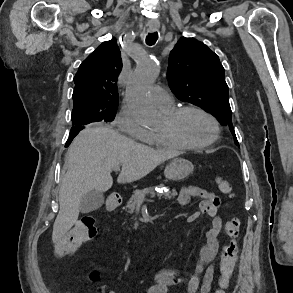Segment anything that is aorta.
Masks as SVG:
<instances>
[{"instance_id": "1", "label": "aorta", "mask_w": 293, "mask_h": 293, "mask_svg": "<svg viewBox=\"0 0 293 293\" xmlns=\"http://www.w3.org/2000/svg\"><path fill=\"white\" fill-rule=\"evenodd\" d=\"M158 73L159 65L155 58L146 56L139 61L126 88L127 102L131 112L140 123L148 126L157 122L154 108L148 100V92L157 79Z\"/></svg>"}]
</instances>
